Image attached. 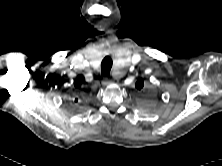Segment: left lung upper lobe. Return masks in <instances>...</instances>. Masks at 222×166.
<instances>
[{
    "instance_id": "obj_1",
    "label": "left lung upper lobe",
    "mask_w": 222,
    "mask_h": 166,
    "mask_svg": "<svg viewBox=\"0 0 222 166\" xmlns=\"http://www.w3.org/2000/svg\"><path fill=\"white\" fill-rule=\"evenodd\" d=\"M136 88H138V89H141L142 87H143V81L142 80H138L137 82H136Z\"/></svg>"
}]
</instances>
